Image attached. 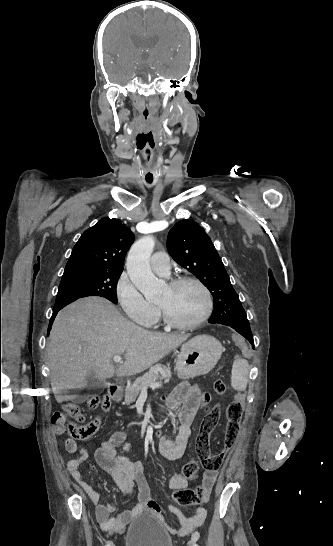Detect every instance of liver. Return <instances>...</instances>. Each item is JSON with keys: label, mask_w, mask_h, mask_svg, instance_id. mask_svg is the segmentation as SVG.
I'll return each instance as SVG.
<instances>
[{"label": "liver", "mask_w": 333, "mask_h": 546, "mask_svg": "<svg viewBox=\"0 0 333 546\" xmlns=\"http://www.w3.org/2000/svg\"><path fill=\"white\" fill-rule=\"evenodd\" d=\"M147 331L123 317L100 297H88L62 309L50 332L47 357L52 391L58 403L71 400L68 389L87 385L93 372L99 380L141 373L188 339ZM115 355H124L118 368Z\"/></svg>", "instance_id": "liver-1"}]
</instances>
